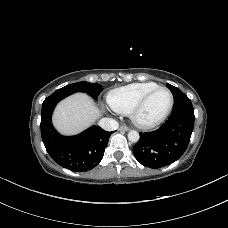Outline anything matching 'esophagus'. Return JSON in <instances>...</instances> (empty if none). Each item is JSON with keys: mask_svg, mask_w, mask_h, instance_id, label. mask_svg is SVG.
Segmentation results:
<instances>
[{"mask_svg": "<svg viewBox=\"0 0 228 228\" xmlns=\"http://www.w3.org/2000/svg\"><path fill=\"white\" fill-rule=\"evenodd\" d=\"M119 131H129V127L122 125L119 127Z\"/></svg>", "mask_w": 228, "mask_h": 228, "instance_id": "obj_1", "label": "esophagus"}]
</instances>
